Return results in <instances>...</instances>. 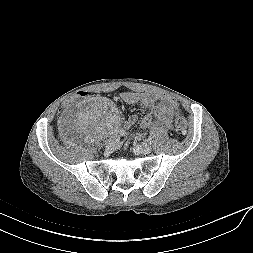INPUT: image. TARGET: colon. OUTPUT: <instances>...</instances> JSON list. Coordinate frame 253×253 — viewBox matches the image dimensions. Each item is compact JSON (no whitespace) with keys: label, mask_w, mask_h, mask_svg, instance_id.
I'll list each match as a JSON object with an SVG mask.
<instances>
[{"label":"colon","mask_w":253,"mask_h":253,"mask_svg":"<svg viewBox=\"0 0 253 253\" xmlns=\"http://www.w3.org/2000/svg\"><path fill=\"white\" fill-rule=\"evenodd\" d=\"M91 93L88 90H79L72 94L67 95L64 99L61 100L60 104L57 107L58 112L63 113L65 110L72 108L73 103H76L80 100H86L90 98ZM175 129L181 133L185 134L187 131V120L184 117H178L175 120Z\"/></svg>","instance_id":"1"}]
</instances>
